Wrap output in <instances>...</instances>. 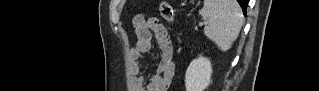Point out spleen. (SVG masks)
<instances>
[{
  "instance_id": "1",
  "label": "spleen",
  "mask_w": 319,
  "mask_h": 91,
  "mask_svg": "<svg viewBox=\"0 0 319 91\" xmlns=\"http://www.w3.org/2000/svg\"><path fill=\"white\" fill-rule=\"evenodd\" d=\"M199 14L208 21L204 34L220 50L227 51L239 36L242 10L236 0H205Z\"/></svg>"
}]
</instances>
